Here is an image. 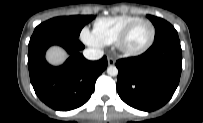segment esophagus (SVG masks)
<instances>
[{"mask_svg":"<svg viewBox=\"0 0 203 123\" xmlns=\"http://www.w3.org/2000/svg\"><path fill=\"white\" fill-rule=\"evenodd\" d=\"M107 61H108V65L110 66L115 64V60L112 57H108Z\"/></svg>","mask_w":203,"mask_h":123,"instance_id":"obj_1","label":"esophagus"}]
</instances>
